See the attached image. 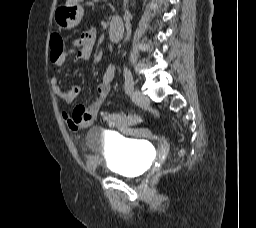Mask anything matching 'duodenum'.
<instances>
[{
    "label": "duodenum",
    "instance_id": "obj_1",
    "mask_svg": "<svg viewBox=\"0 0 256 228\" xmlns=\"http://www.w3.org/2000/svg\"><path fill=\"white\" fill-rule=\"evenodd\" d=\"M124 34V27L121 21L113 20L110 26L109 35L113 42H118L122 39Z\"/></svg>",
    "mask_w": 256,
    "mask_h": 228
}]
</instances>
